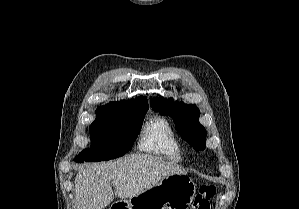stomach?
I'll return each instance as SVG.
<instances>
[{"label": "stomach", "instance_id": "obj_1", "mask_svg": "<svg viewBox=\"0 0 299 209\" xmlns=\"http://www.w3.org/2000/svg\"><path fill=\"white\" fill-rule=\"evenodd\" d=\"M196 194V184L186 174H171L155 186L129 200H119L110 209H189Z\"/></svg>", "mask_w": 299, "mask_h": 209}]
</instances>
